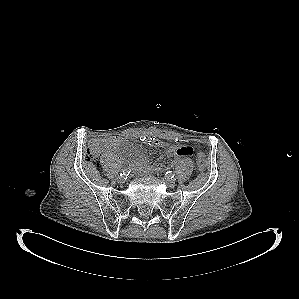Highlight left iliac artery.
<instances>
[{
  "mask_svg": "<svg viewBox=\"0 0 299 299\" xmlns=\"http://www.w3.org/2000/svg\"><path fill=\"white\" fill-rule=\"evenodd\" d=\"M166 177L169 179H172L175 177V174L172 171H168V172H166Z\"/></svg>",
  "mask_w": 299,
  "mask_h": 299,
  "instance_id": "left-iliac-artery-1",
  "label": "left iliac artery"
}]
</instances>
